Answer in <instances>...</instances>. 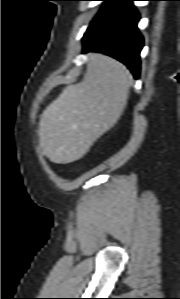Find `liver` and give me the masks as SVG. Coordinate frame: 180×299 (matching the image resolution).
<instances>
[{
    "label": "liver",
    "mask_w": 180,
    "mask_h": 299,
    "mask_svg": "<svg viewBox=\"0 0 180 299\" xmlns=\"http://www.w3.org/2000/svg\"><path fill=\"white\" fill-rule=\"evenodd\" d=\"M131 75L124 65L102 54L88 55L83 80L67 86L42 113L39 144L53 163L81 159L121 117Z\"/></svg>",
    "instance_id": "liver-1"
}]
</instances>
